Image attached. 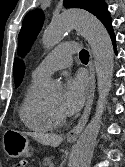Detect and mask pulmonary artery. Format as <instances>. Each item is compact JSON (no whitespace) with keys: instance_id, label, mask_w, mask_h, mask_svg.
I'll return each instance as SVG.
<instances>
[{"instance_id":"obj_1","label":"pulmonary artery","mask_w":125,"mask_h":167,"mask_svg":"<svg viewBox=\"0 0 125 167\" xmlns=\"http://www.w3.org/2000/svg\"><path fill=\"white\" fill-rule=\"evenodd\" d=\"M76 45L73 41L59 45L36 66L32 77L44 80L53 72L68 67L72 62V54L75 52Z\"/></svg>"}]
</instances>
